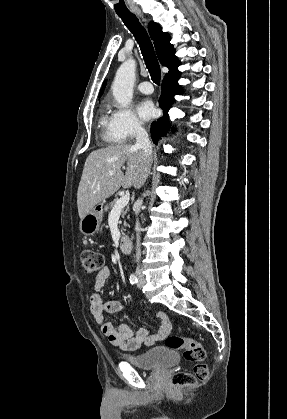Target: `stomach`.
<instances>
[{"mask_svg": "<svg viewBox=\"0 0 287 419\" xmlns=\"http://www.w3.org/2000/svg\"><path fill=\"white\" fill-rule=\"evenodd\" d=\"M103 218V206L97 205L80 221V231L86 236H93L98 232Z\"/></svg>", "mask_w": 287, "mask_h": 419, "instance_id": "0dacf381", "label": "stomach"}]
</instances>
